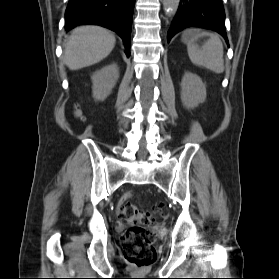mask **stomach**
<instances>
[{
  "mask_svg": "<svg viewBox=\"0 0 279 279\" xmlns=\"http://www.w3.org/2000/svg\"><path fill=\"white\" fill-rule=\"evenodd\" d=\"M197 32L196 31H186L183 36H182V40L185 42V43H189L195 36H197ZM198 38V37H197Z\"/></svg>",
  "mask_w": 279,
  "mask_h": 279,
  "instance_id": "1",
  "label": "stomach"
}]
</instances>
